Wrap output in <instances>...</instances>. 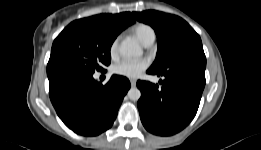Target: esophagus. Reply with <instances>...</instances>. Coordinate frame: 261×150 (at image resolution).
<instances>
[{"label":"esophagus","mask_w":261,"mask_h":150,"mask_svg":"<svg viewBox=\"0 0 261 150\" xmlns=\"http://www.w3.org/2000/svg\"><path fill=\"white\" fill-rule=\"evenodd\" d=\"M130 83L132 87L136 86V80L135 79H130Z\"/></svg>","instance_id":"34e87169"}]
</instances>
